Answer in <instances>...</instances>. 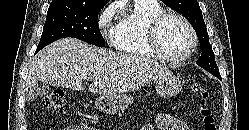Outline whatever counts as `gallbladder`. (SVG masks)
<instances>
[{"label":"gallbladder","mask_w":249,"mask_h":130,"mask_svg":"<svg viewBox=\"0 0 249 130\" xmlns=\"http://www.w3.org/2000/svg\"><path fill=\"white\" fill-rule=\"evenodd\" d=\"M50 90L51 88L49 84L37 81L26 91L25 99L29 102H33L37 98H42L48 95Z\"/></svg>","instance_id":"bac80fb5"}]
</instances>
